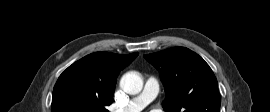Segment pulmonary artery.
<instances>
[{
	"label": "pulmonary artery",
	"instance_id": "e3ab8cb5",
	"mask_svg": "<svg viewBox=\"0 0 270 112\" xmlns=\"http://www.w3.org/2000/svg\"><path fill=\"white\" fill-rule=\"evenodd\" d=\"M159 85L155 78L150 77L136 97L132 98L125 106L115 109L113 112H141L157 96Z\"/></svg>",
	"mask_w": 270,
	"mask_h": 112
}]
</instances>
